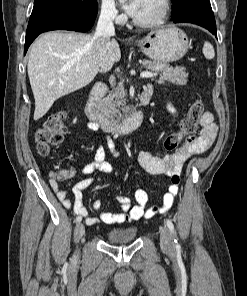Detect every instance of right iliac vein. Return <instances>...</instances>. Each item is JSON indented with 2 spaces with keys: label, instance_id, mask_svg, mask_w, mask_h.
<instances>
[{
  "label": "right iliac vein",
  "instance_id": "1",
  "mask_svg": "<svg viewBox=\"0 0 247 296\" xmlns=\"http://www.w3.org/2000/svg\"><path fill=\"white\" fill-rule=\"evenodd\" d=\"M84 233H85L84 225L82 223H78L74 232L75 241L78 242L80 238L84 235Z\"/></svg>",
  "mask_w": 247,
  "mask_h": 296
}]
</instances>
